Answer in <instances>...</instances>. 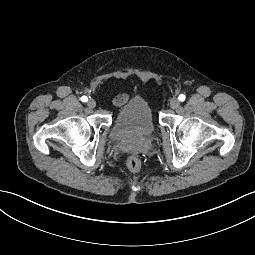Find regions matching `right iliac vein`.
<instances>
[{"label": "right iliac vein", "instance_id": "right-iliac-vein-1", "mask_svg": "<svg viewBox=\"0 0 255 255\" xmlns=\"http://www.w3.org/2000/svg\"><path fill=\"white\" fill-rule=\"evenodd\" d=\"M87 105L89 108L93 109L96 107V102L94 99H90L88 102H87Z\"/></svg>", "mask_w": 255, "mask_h": 255}]
</instances>
